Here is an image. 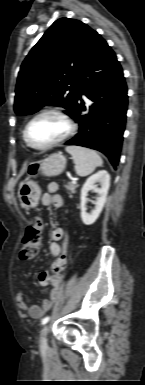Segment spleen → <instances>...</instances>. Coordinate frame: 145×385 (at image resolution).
Masks as SVG:
<instances>
[{"label":"spleen","instance_id":"3e777b00","mask_svg":"<svg viewBox=\"0 0 145 385\" xmlns=\"http://www.w3.org/2000/svg\"><path fill=\"white\" fill-rule=\"evenodd\" d=\"M65 150L71 154L78 176H88L96 167L103 164L102 158L92 149L81 146H67Z\"/></svg>","mask_w":145,"mask_h":385}]
</instances>
